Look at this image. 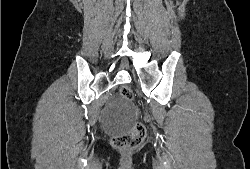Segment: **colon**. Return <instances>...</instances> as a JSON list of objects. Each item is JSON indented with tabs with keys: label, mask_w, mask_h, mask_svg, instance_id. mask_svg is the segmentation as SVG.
I'll use <instances>...</instances> for the list:
<instances>
[{
	"label": "colon",
	"mask_w": 250,
	"mask_h": 169,
	"mask_svg": "<svg viewBox=\"0 0 250 169\" xmlns=\"http://www.w3.org/2000/svg\"><path fill=\"white\" fill-rule=\"evenodd\" d=\"M120 96L128 101H135L134 92L127 86L120 88ZM135 107H141V102H135ZM137 109V108H136ZM136 115H143V110H136ZM148 130L144 122H137L132 127V131L127 130L126 133L117 134L115 138H111L110 146L113 150H121V155H130V150H136L140 143L147 138Z\"/></svg>",
	"instance_id": "obj_1"
}]
</instances>
